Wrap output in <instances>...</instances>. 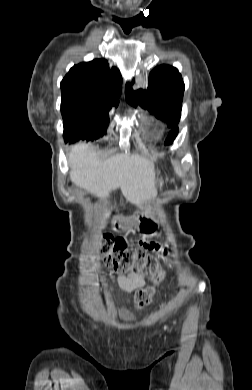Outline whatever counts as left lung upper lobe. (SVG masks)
<instances>
[{
    "label": "left lung upper lobe",
    "instance_id": "5c2ea615",
    "mask_svg": "<svg viewBox=\"0 0 252 390\" xmlns=\"http://www.w3.org/2000/svg\"><path fill=\"white\" fill-rule=\"evenodd\" d=\"M184 83L178 70L169 65H161L150 72L147 90L133 91L126 87L127 101L136 106L148 108L157 118L167 122L173 130L169 133L166 144L175 139L181 117Z\"/></svg>",
    "mask_w": 252,
    "mask_h": 390
}]
</instances>
